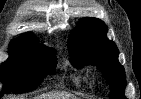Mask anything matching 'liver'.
I'll return each instance as SVG.
<instances>
[{"label":"liver","instance_id":"liver-1","mask_svg":"<svg viewBox=\"0 0 141 99\" xmlns=\"http://www.w3.org/2000/svg\"><path fill=\"white\" fill-rule=\"evenodd\" d=\"M35 99H77V97L67 92H48L37 96Z\"/></svg>","mask_w":141,"mask_h":99}]
</instances>
